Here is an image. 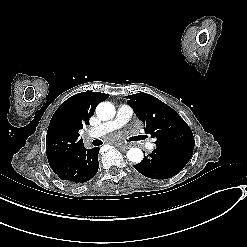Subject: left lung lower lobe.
<instances>
[{
    "label": "left lung lower lobe",
    "instance_id": "1",
    "mask_svg": "<svg viewBox=\"0 0 247 247\" xmlns=\"http://www.w3.org/2000/svg\"><path fill=\"white\" fill-rule=\"evenodd\" d=\"M190 159L180 154L156 148L134 168L152 179H167L178 174Z\"/></svg>",
    "mask_w": 247,
    "mask_h": 247
}]
</instances>
